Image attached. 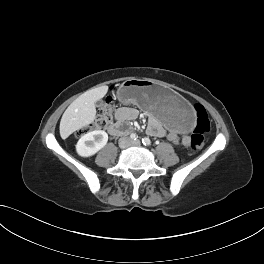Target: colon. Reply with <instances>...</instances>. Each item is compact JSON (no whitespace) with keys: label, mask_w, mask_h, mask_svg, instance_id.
I'll return each instance as SVG.
<instances>
[{"label":"colon","mask_w":264,"mask_h":264,"mask_svg":"<svg viewBox=\"0 0 264 264\" xmlns=\"http://www.w3.org/2000/svg\"><path fill=\"white\" fill-rule=\"evenodd\" d=\"M114 109V97L107 96L98 107L97 116L92 124V127L95 129H102L106 127L112 120ZM194 112L196 115V124L190 138V143L193 150H200L205 144L206 136L210 131L211 124L207 111L202 105L196 104L194 106Z\"/></svg>","instance_id":"5ec220e1"}]
</instances>
